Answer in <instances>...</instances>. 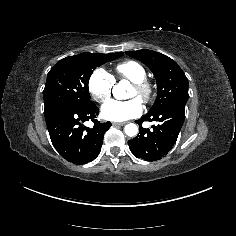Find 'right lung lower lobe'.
Masks as SVG:
<instances>
[{"label":"right lung lower lobe","instance_id":"right-lung-lower-lobe-1","mask_svg":"<svg viewBox=\"0 0 236 236\" xmlns=\"http://www.w3.org/2000/svg\"><path fill=\"white\" fill-rule=\"evenodd\" d=\"M98 113L94 102L85 107L59 104L44 109L51 141L64 159L80 165L98 156L104 134L112 126L110 122L96 120ZM89 120L94 122L92 128L83 126Z\"/></svg>","mask_w":236,"mask_h":236}]
</instances>
